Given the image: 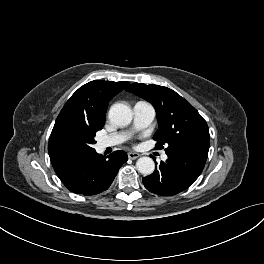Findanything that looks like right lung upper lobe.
Wrapping results in <instances>:
<instances>
[{"label": "right lung upper lobe", "instance_id": "right-lung-upper-lobe-1", "mask_svg": "<svg viewBox=\"0 0 264 264\" xmlns=\"http://www.w3.org/2000/svg\"><path fill=\"white\" fill-rule=\"evenodd\" d=\"M129 82L91 81L80 87L66 102L58 115L50 135L48 151L52 164L61 160L56 158L53 143L61 130L71 124L102 129L108 102L121 92Z\"/></svg>", "mask_w": 264, "mask_h": 264}]
</instances>
